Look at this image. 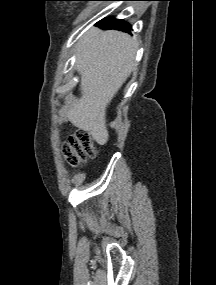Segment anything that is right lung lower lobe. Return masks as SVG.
Returning a JSON list of instances; mask_svg holds the SVG:
<instances>
[{
  "mask_svg": "<svg viewBox=\"0 0 216 285\" xmlns=\"http://www.w3.org/2000/svg\"><path fill=\"white\" fill-rule=\"evenodd\" d=\"M102 29H116L124 32H129V25L123 20H118L114 18H105L97 23Z\"/></svg>",
  "mask_w": 216,
  "mask_h": 285,
  "instance_id": "right-lung-lower-lobe-1",
  "label": "right lung lower lobe"
}]
</instances>
